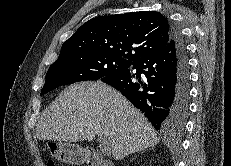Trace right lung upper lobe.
I'll return each instance as SVG.
<instances>
[{
	"mask_svg": "<svg viewBox=\"0 0 231 166\" xmlns=\"http://www.w3.org/2000/svg\"><path fill=\"white\" fill-rule=\"evenodd\" d=\"M171 37L172 25L159 12L99 16L84 23L63 43L59 57L95 52L133 62L159 52Z\"/></svg>",
	"mask_w": 231,
	"mask_h": 166,
	"instance_id": "cb5924a9",
	"label": "right lung upper lobe"
}]
</instances>
